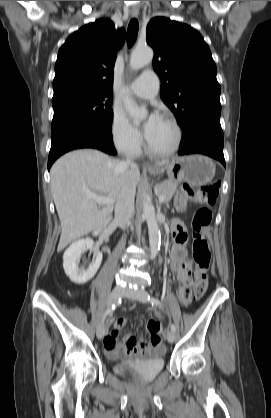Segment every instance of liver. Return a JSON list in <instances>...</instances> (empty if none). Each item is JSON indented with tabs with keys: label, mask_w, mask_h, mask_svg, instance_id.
Segmentation results:
<instances>
[{
	"label": "liver",
	"mask_w": 271,
	"mask_h": 418,
	"mask_svg": "<svg viewBox=\"0 0 271 418\" xmlns=\"http://www.w3.org/2000/svg\"><path fill=\"white\" fill-rule=\"evenodd\" d=\"M167 161L158 162L163 166ZM51 191L61 222L58 251L97 229L113 212L114 203L101 206L88 194L118 199L121 191L136 192L140 170L136 164L92 149L76 150L59 158L52 166Z\"/></svg>",
	"instance_id": "obj_1"
}]
</instances>
